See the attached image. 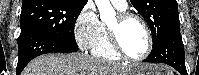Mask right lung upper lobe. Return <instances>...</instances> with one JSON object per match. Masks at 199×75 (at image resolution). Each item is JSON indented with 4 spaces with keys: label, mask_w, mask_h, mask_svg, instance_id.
Instances as JSON below:
<instances>
[{
    "label": "right lung upper lobe",
    "mask_w": 199,
    "mask_h": 75,
    "mask_svg": "<svg viewBox=\"0 0 199 75\" xmlns=\"http://www.w3.org/2000/svg\"><path fill=\"white\" fill-rule=\"evenodd\" d=\"M53 1H61L73 5H85L87 3V0H23L22 4H28V3H34V4H43V3H49Z\"/></svg>",
    "instance_id": "cb5924a9"
}]
</instances>
